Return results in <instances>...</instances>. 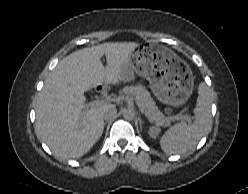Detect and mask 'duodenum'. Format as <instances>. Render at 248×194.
I'll return each instance as SVG.
<instances>
[{"instance_id": "obj_1", "label": "duodenum", "mask_w": 248, "mask_h": 194, "mask_svg": "<svg viewBox=\"0 0 248 194\" xmlns=\"http://www.w3.org/2000/svg\"><path fill=\"white\" fill-rule=\"evenodd\" d=\"M103 89H104V87H103V86H101V87H97V88H96V91H97V92H100V91H102Z\"/></svg>"}]
</instances>
